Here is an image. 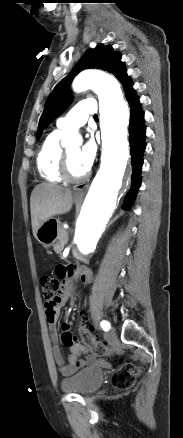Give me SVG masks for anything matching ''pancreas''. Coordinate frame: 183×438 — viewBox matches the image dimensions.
<instances>
[{"label": "pancreas", "mask_w": 183, "mask_h": 438, "mask_svg": "<svg viewBox=\"0 0 183 438\" xmlns=\"http://www.w3.org/2000/svg\"><path fill=\"white\" fill-rule=\"evenodd\" d=\"M67 242H68V232L66 230L62 229L60 232V236L58 238V241L53 246L54 251L57 254L61 255L62 251L64 249V246L67 244Z\"/></svg>", "instance_id": "1"}]
</instances>
